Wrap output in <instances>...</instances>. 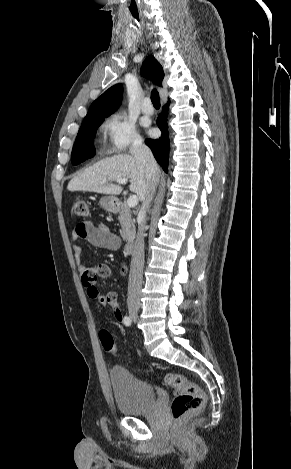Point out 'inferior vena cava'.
<instances>
[{
  "label": "inferior vena cava",
  "instance_id": "obj_1",
  "mask_svg": "<svg viewBox=\"0 0 291 469\" xmlns=\"http://www.w3.org/2000/svg\"><path fill=\"white\" fill-rule=\"evenodd\" d=\"M130 153L137 161L143 164L146 169L147 177L152 178V176L156 173L158 166L151 150L143 143L142 138L138 137L134 139ZM154 193L155 186H152L143 200L142 208L140 210L142 221L138 226L128 282L127 304L129 307H138L140 305L142 272L144 267V227L146 223V211L148 210L151 201L153 200Z\"/></svg>",
  "mask_w": 291,
  "mask_h": 469
}]
</instances>
